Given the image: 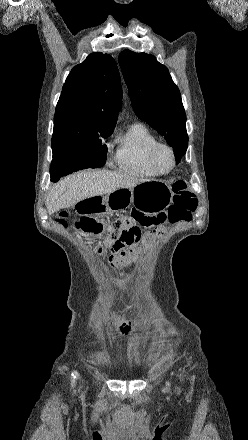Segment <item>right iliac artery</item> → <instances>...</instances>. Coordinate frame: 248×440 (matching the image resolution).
<instances>
[{"instance_id":"right-iliac-artery-1","label":"right iliac artery","mask_w":248,"mask_h":440,"mask_svg":"<svg viewBox=\"0 0 248 440\" xmlns=\"http://www.w3.org/2000/svg\"><path fill=\"white\" fill-rule=\"evenodd\" d=\"M72 376H73L72 382L75 383V379L78 377V373L77 372L72 373Z\"/></svg>"}]
</instances>
